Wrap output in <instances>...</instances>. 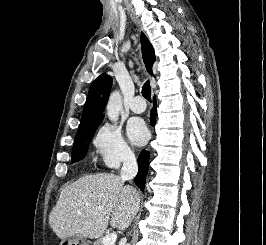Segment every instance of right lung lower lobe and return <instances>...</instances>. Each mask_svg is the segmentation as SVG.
<instances>
[{"mask_svg": "<svg viewBox=\"0 0 266 245\" xmlns=\"http://www.w3.org/2000/svg\"><path fill=\"white\" fill-rule=\"evenodd\" d=\"M154 107L151 112V123H155V117H156V101L154 99ZM148 164H149V152L143 150L139 157H138V166L139 171L135 178V184L143 191L145 187V179L148 171Z\"/></svg>", "mask_w": 266, "mask_h": 245, "instance_id": "98d812e1", "label": "right lung lower lobe"}]
</instances>
